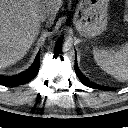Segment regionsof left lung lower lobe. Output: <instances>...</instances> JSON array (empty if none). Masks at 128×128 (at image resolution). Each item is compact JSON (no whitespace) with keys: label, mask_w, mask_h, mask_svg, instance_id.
Segmentation results:
<instances>
[{"label":"left lung lower lobe","mask_w":128,"mask_h":128,"mask_svg":"<svg viewBox=\"0 0 128 128\" xmlns=\"http://www.w3.org/2000/svg\"><path fill=\"white\" fill-rule=\"evenodd\" d=\"M75 72H76L78 78L81 80V82H82L84 85H86V86H88V87H91V88H95V89L107 90V89H104V88H101V87H98V86H95V85L91 84V83L87 80V78L84 77V76L79 72V70H78V68H77V66H76V63H75Z\"/></svg>","instance_id":"obj_1"}]
</instances>
